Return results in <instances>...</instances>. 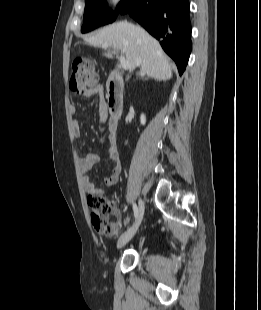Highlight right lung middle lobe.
<instances>
[{
  "mask_svg": "<svg viewBox=\"0 0 261 310\" xmlns=\"http://www.w3.org/2000/svg\"><path fill=\"white\" fill-rule=\"evenodd\" d=\"M129 0H123L117 6V13L125 6ZM116 13L108 8L106 0H85L84 24L82 33L89 32L99 26L113 22Z\"/></svg>",
  "mask_w": 261,
  "mask_h": 310,
  "instance_id": "1",
  "label": "right lung middle lobe"
}]
</instances>
